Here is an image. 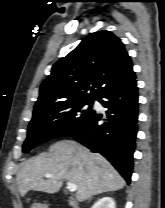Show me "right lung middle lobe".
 I'll use <instances>...</instances> for the list:
<instances>
[{
    "mask_svg": "<svg viewBox=\"0 0 165 208\" xmlns=\"http://www.w3.org/2000/svg\"><path fill=\"white\" fill-rule=\"evenodd\" d=\"M94 100H72L34 111L23 152L59 135L76 132L93 113ZM89 105V107L87 106Z\"/></svg>",
    "mask_w": 165,
    "mask_h": 208,
    "instance_id": "dd1d6c3e",
    "label": "right lung middle lobe"
}]
</instances>
